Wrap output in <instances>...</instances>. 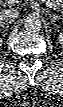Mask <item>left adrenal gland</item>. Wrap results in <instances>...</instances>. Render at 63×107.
I'll return each mask as SVG.
<instances>
[{
  "label": "left adrenal gland",
  "instance_id": "left-adrenal-gland-1",
  "mask_svg": "<svg viewBox=\"0 0 63 107\" xmlns=\"http://www.w3.org/2000/svg\"><path fill=\"white\" fill-rule=\"evenodd\" d=\"M50 19L55 22L56 20H61L62 18L56 14L50 15Z\"/></svg>",
  "mask_w": 63,
  "mask_h": 107
}]
</instances>
